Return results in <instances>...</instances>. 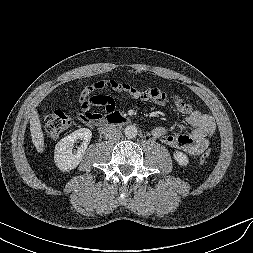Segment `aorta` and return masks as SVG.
<instances>
[{
	"instance_id": "aorta-1",
	"label": "aorta",
	"mask_w": 253,
	"mask_h": 253,
	"mask_svg": "<svg viewBox=\"0 0 253 253\" xmlns=\"http://www.w3.org/2000/svg\"><path fill=\"white\" fill-rule=\"evenodd\" d=\"M137 133V128L134 125H128L124 129V134L128 139L135 138L137 136Z\"/></svg>"
}]
</instances>
